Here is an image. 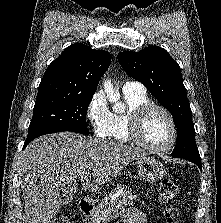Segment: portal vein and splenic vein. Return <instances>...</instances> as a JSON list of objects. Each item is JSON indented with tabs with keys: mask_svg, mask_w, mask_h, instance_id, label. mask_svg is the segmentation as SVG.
<instances>
[{
	"mask_svg": "<svg viewBox=\"0 0 221 223\" xmlns=\"http://www.w3.org/2000/svg\"><path fill=\"white\" fill-rule=\"evenodd\" d=\"M81 181H82V182L89 181V176H88V175H86V176H82V177H81Z\"/></svg>",
	"mask_w": 221,
	"mask_h": 223,
	"instance_id": "portal-vein-and-splenic-vein-1",
	"label": "portal vein and splenic vein"
}]
</instances>
